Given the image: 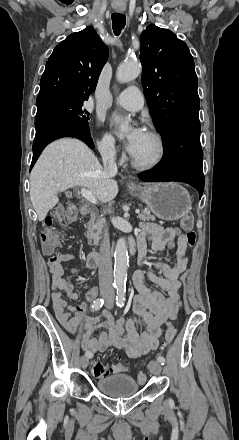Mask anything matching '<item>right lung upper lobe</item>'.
Instances as JSON below:
<instances>
[{"mask_svg": "<svg viewBox=\"0 0 239 440\" xmlns=\"http://www.w3.org/2000/svg\"><path fill=\"white\" fill-rule=\"evenodd\" d=\"M109 50L93 27L69 35L46 63L36 102L54 96L89 98Z\"/></svg>", "mask_w": 239, "mask_h": 440, "instance_id": "cb5924a9", "label": "right lung upper lobe"}]
</instances>
